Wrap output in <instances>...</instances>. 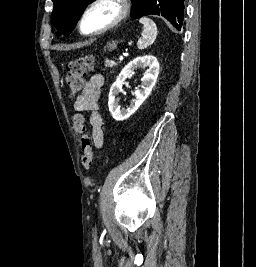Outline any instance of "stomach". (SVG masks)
<instances>
[{"label": "stomach", "mask_w": 256, "mask_h": 267, "mask_svg": "<svg viewBox=\"0 0 256 267\" xmlns=\"http://www.w3.org/2000/svg\"><path fill=\"white\" fill-rule=\"evenodd\" d=\"M105 48H108V50H116L117 48V42H111V44H107Z\"/></svg>", "instance_id": "obj_1"}]
</instances>
